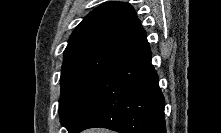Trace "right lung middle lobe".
Wrapping results in <instances>:
<instances>
[{"instance_id":"dd1d6c3e","label":"right lung middle lobe","mask_w":221,"mask_h":133,"mask_svg":"<svg viewBox=\"0 0 221 133\" xmlns=\"http://www.w3.org/2000/svg\"><path fill=\"white\" fill-rule=\"evenodd\" d=\"M105 70L61 72V99L59 114L61 123L67 130L89 93L92 85Z\"/></svg>"}]
</instances>
